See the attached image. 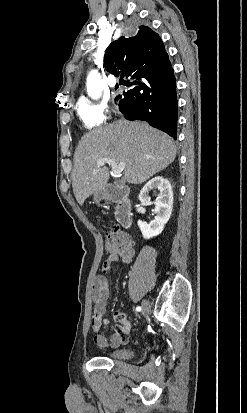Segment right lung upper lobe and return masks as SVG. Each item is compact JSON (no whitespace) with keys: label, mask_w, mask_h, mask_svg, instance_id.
Segmentation results:
<instances>
[{"label":"right lung upper lobe","mask_w":247,"mask_h":413,"mask_svg":"<svg viewBox=\"0 0 247 413\" xmlns=\"http://www.w3.org/2000/svg\"><path fill=\"white\" fill-rule=\"evenodd\" d=\"M168 60L159 35L147 26H139L135 36H122L107 47L104 66L112 74L128 77L155 70Z\"/></svg>","instance_id":"obj_1"}]
</instances>
